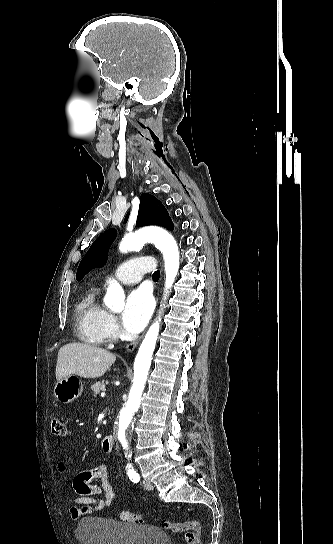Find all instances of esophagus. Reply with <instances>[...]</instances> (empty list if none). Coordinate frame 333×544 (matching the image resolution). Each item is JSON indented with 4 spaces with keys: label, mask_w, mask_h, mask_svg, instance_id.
Wrapping results in <instances>:
<instances>
[{
    "label": "esophagus",
    "mask_w": 333,
    "mask_h": 544,
    "mask_svg": "<svg viewBox=\"0 0 333 544\" xmlns=\"http://www.w3.org/2000/svg\"><path fill=\"white\" fill-rule=\"evenodd\" d=\"M142 336H140L138 339H136L135 341L131 342L130 344H128L126 346V352L127 353H131L135 348L136 346L138 345V343L140 342Z\"/></svg>",
    "instance_id": "esophagus-1"
}]
</instances>
